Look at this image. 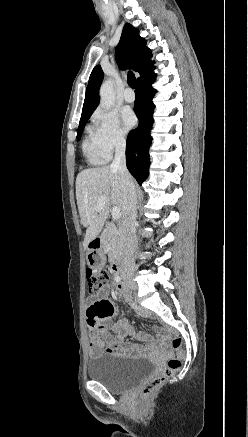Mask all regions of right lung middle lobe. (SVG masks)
I'll return each instance as SVG.
<instances>
[{
  "mask_svg": "<svg viewBox=\"0 0 248 437\" xmlns=\"http://www.w3.org/2000/svg\"><path fill=\"white\" fill-rule=\"evenodd\" d=\"M89 118H90V116L86 117V118H84V119H82L80 121L79 127H78V131H77V140H80L82 132H83V129H84V126H85V124H86V122L88 121Z\"/></svg>",
  "mask_w": 248,
  "mask_h": 437,
  "instance_id": "1",
  "label": "right lung middle lobe"
}]
</instances>
